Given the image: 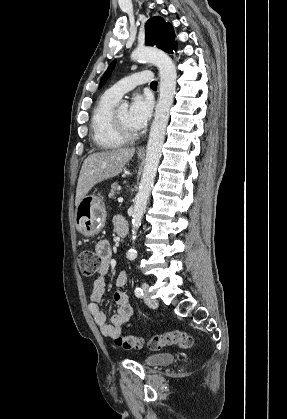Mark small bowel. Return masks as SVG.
<instances>
[{
  "instance_id": "1",
  "label": "small bowel",
  "mask_w": 287,
  "mask_h": 419,
  "mask_svg": "<svg viewBox=\"0 0 287 419\" xmlns=\"http://www.w3.org/2000/svg\"><path fill=\"white\" fill-rule=\"evenodd\" d=\"M122 223H126L123 218H116L114 220L115 228ZM95 251L101 258V267L99 270L98 277L94 280L93 290L90 296V303L88 305L89 312L91 313L94 321L100 328L103 335L116 339L120 336L122 327L125 324H129L131 317L134 314V308L130 303L127 293L123 291H117L114 294V300L118 306L117 311L108 321L105 312L100 307V302L105 294V279L104 275L107 273L110 259H111V247L109 242L106 240L99 241L95 246ZM128 281V274L122 271L116 278V285L121 287L124 286Z\"/></svg>"
}]
</instances>
